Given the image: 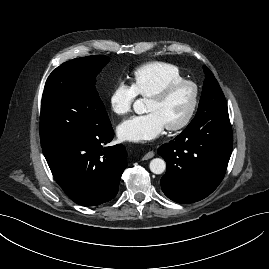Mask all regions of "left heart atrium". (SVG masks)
Segmentation results:
<instances>
[{
    "label": "left heart atrium",
    "instance_id": "left-heart-atrium-1",
    "mask_svg": "<svg viewBox=\"0 0 269 269\" xmlns=\"http://www.w3.org/2000/svg\"><path fill=\"white\" fill-rule=\"evenodd\" d=\"M166 125L154 112L132 116L124 120L117 129L121 139L131 142H146L159 137Z\"/></svg>",
    "mask_w": 269,
    "mask_h": 269
}]
</instances>
